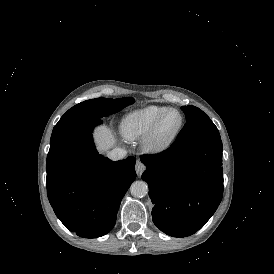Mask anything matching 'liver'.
<instances>
[{"label": "liver", "instance_id": "6515ba94", "mask_svg": "<svg viewBox=\"0 0 274 274\" xmlns=\"http://www.w3.org/2000/svg\"><path fill=\"white\" fill-rule=\"evenodd\" d=\"M95 142L100 153H104L111 149L116 139L111 128L107 126H99L94 132Z\"/></svg>", "mask_w": 274, "mask_h": 274}]
</instances>
